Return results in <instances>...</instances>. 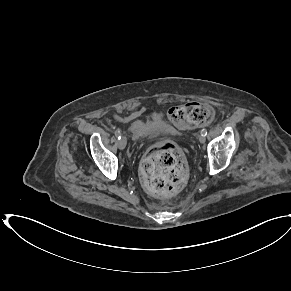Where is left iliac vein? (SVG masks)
<instances>
[{"mask_svg": "<svg viewBox=\"0 0 291 291\" xmlns=\"http://www.w3.org/2000/svg\"><path fill=\"white\" fill-rule=\"evenodd\" d=\"M198 140H199L200 143L203 144V143H205L206 138H205V136L202 133H199L198 134Z\"/></svg>", "mask_w": 291, "mask_h": 291, "instance_id": "4c4485c4", "label": "left iliac vein"}]
</instances>
